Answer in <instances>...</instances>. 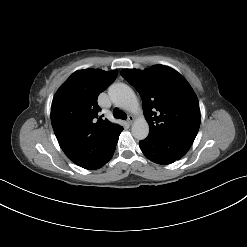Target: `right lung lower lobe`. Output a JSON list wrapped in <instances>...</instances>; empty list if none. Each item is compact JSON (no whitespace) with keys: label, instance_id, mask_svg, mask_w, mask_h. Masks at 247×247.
<instances>
[{"label":"right lung lower lobe","instance_id":"obj_1","mask_svg":"<svg viewBox=\"0 0 247 247\" xmlns=\"http://www.w3.org/2000/svg\"><path fill=\"white\" fill-rule=\"evenodd\" d=\"M122 130L123 127H120L112 134L99 141L92 151L90 157L83 163L79 164V166L85 169L92 170L104 166L112 158L116 148V144L118 142V137Z\"/></svg>","mask_w":247,"mask_h":247}]
</instances>
